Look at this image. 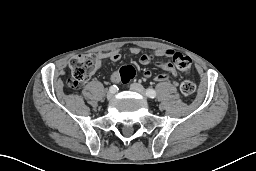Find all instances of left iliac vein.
I'll use <instances>...</instances> for the list:
<instances>
[{
  "instance_id": "1",
  "label": "left iliac vein",
  "mask_w": 256,
  "mask_h": 171,
  "mask_svg": "<svg viewBox=\"0 0 256 171\" xmlns=\"http://www.w3.org/2000/svg\"><path fill=\"white\" fill-rule=\"evenodd\" d=\"M130 89L145 96V89L142 85L138 84V83H132L130 85Z\"/></svg>"
}]
</instances>
